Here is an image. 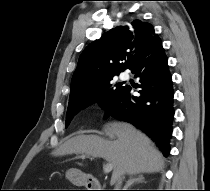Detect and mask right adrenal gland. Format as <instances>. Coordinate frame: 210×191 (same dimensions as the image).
I'll use <instances>...</instances> for the list:
<instances>
[{
	"instance_id": "right-adrenal-gland-1",
	"label": "right adrenal gland",
	"mask_w": 210,
	"mask_h": 191,
	"mask_svg": "<svg viewBox=\"0 0 210 191\" xmlns=\"http://www.w3.org/2000/svg\"><path fill=\"white\" fill-rule=\"evenodd\" d=\"M142 182H144V177L142 174L130 175L129 180L127 181V183L124 187V190H128V188L135 183H142Z\"/></svg>"
}]
</instances>
